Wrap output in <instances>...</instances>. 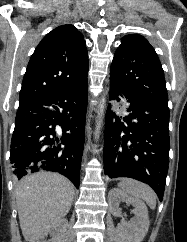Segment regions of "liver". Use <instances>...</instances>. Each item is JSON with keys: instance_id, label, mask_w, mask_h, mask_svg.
<instances>
[{"instance_id": "obj_1", "label": "liver", "mask_w": 187, "mask_h": 242, "mask_svg": "<svg viewBox=\"0 0 187 242\" xmlns=\"http://www.w3.org/2000/svg\"><path fill=\"white\" fill-rule=\"evenodd\" d=\"M15 195L23 237L34 242L37 236L67 215L74 187L59 174L38 172L21 179Z\"/></svg>"}]
</instances>
